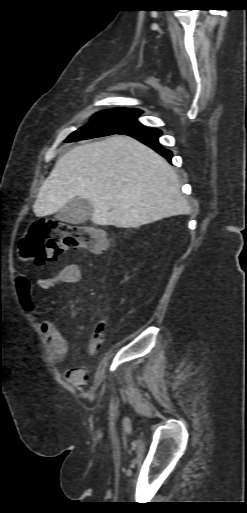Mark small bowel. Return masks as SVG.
I'll use <instances>...</instances> for the list:
<instances>
[{"label": "small bowel", "mask_w": 247, "mask_h": 513, "mask_svg": "<svg viewBox=\"0 0 247 513\" xmlns=\"http://www.w3.org/2000/svg\"><path fill=\"white\" fill-rule=\"evenodd\" d=\"M81 269L78 264L65 265L57 274L43 279L37 288L47 289L58 283H77L81 279ZM16 289L20 303L25 311L37 319L39 311L33 300V286L25 274H19L16 278ZM39 326L49 345L52 360L63 362L69 353V344L60 332L57 325L48 319H40ZM67 380L75 385H82L84 372L81 368H73L66 373Z\"/></svg>", "instance_id": "c3829d8e"}]
</instances>
